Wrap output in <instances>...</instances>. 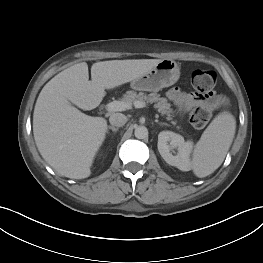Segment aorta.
Returning a JSON list of instances; mask_svg holds the SVG:
<instances>
[{
  "label": "aorta",
  "instance_id": "762f6f07",
  "mask_svg": "<svg viewBox=\"0 0 263 263\" xmlns=\"http://www.w3.org/2000/svg\"><path fill=\"white\" fill-rule=\"evenodd\" d=\"M134 135L138 139H144L148 137V129L145 126H138L134 130Z\"/></svg>",
  "mask_w": 263,
  "mask_h": 263
}]
</instances>
